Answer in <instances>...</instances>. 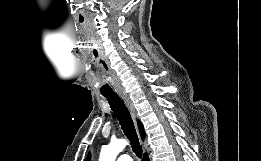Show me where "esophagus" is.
I'll return each instance as SVG.
<instances>
[{"mask_svg": "<svg viewBox=\"0 0 261 161\" xmlns=\"http://www.w3.org/2000/svg\"><path fill=\"white\" fill-rule=\"evenodd\" d=\"M119 96L124 101V103H125L126 107L128 108L132 118L135 120L136 119V111H135V108H134L131 100L129 99V97L125 93H120Z\"/></svg>", "mask_w": 261, "mask_h": 161, "instance_id": "1", "label": "esophagus"}]
</instances>
